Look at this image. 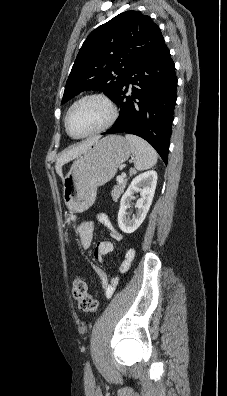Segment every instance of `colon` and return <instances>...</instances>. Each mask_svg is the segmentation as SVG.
I'll return each mask as SVG.
<instances>
[{
  "label": "colon",
  "mask_w": 227,
  "mask_h": 396,
  "mask_svg": "<svg viewBox=\"0 0 227 396\" xmlns=\"http://www.w3.org/2000/svg\"><path fill=\"white\" fill-rule=\"evenodd\" d=\"M72 295L78 301L79 309L83 312H94L97 301L88 293L85 281L79 277L73 280Z\"/></svg>",
  "instance_id": "colon-1"
}]
</instances>
